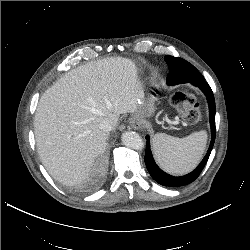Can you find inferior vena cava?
Returning a JSON list of instances; mask_svg holds the SVG:
<instances>
[{"instance_id": "inferior-vena-cava-1", "label": "inferior vena cava", "mask_w": 250, "mask_h": 250, "mask_svg": "<svg viewBox=\"0 0 250 250\" xmlns=\"http://www.w3.org/2000/svg\"><path fill=\"white\" fill-rule=\"evenodd\" d=\"M99 128L104 132H109L112 130V122L104 120L100 123Z\"/></svg>"}]
</instances>
